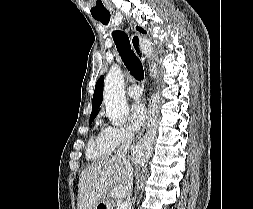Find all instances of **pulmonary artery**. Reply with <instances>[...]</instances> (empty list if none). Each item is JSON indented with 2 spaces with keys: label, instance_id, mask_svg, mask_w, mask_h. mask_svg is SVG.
Segmentation results:
<instances>
[{
  "label": "pulmonary artery",
  "instance_id": "obj_1",
  "mask_svg": "<svg viewBox=\"0 0 253 209\" xmlns=\"http://www.w3.org/2000/svg\"><path fill=\"white\" fill-rule=\"evenodd\" d=\"M127 93L131 98L138 99L142 95V90L137 84L128 87Z\"/></svg>",
  "mask_w": 253,
  "mask_h": 209
}]
</instances>
